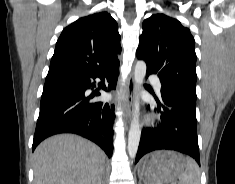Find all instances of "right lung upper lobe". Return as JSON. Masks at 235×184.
<instances>
[{"instance_id": "cb5924a9", "label": "right lung upper lobe", "mask_w": 235, "mask_h": 184, "mask_svg": "<svg viewBox=\"0 0 235 184\" xmlns=\"http://www.w3.org/2000/svg\"><path fill=\"white\" fill-rule=\"evenodd\" d=\"M120 39L118 25L107 12L82 17L62 31L49 72L96 73L117 66Z\"/></svg>"}]
</instances>
